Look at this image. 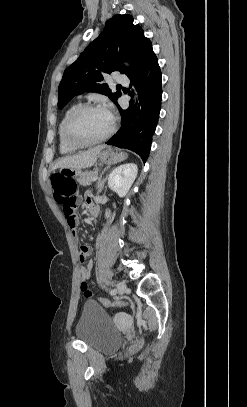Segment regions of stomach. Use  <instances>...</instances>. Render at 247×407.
<instances>
[{
	"label": "stomach",
	"mask_w": 247,
	"mask_h": 407,
	"mask_svg": "<svg viewBox=\"0 0 247 407\" xmlns=\"http://www.w3.org/2000/svg\"><path fill=\"white\" fill-rule=\"evenodd\" d=\"M126 157L125 153H115L111 149L104 150L99 155L100 161L105 164H114L124 160ZM59 171L62 178H77L81 174L78 166H60Z\"/></svg>",
	"instance_id": "stomach-1"
}]
</instances>
